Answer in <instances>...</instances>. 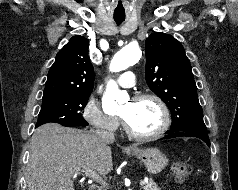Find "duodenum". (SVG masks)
I'll return each instance as SVG.
<instances>
[{"label": "duodenum", "instance_id": "obj_1", "mask_svg": "<svg viewBox=\"0 0 238 190\" xmlns=\"http://www.w3.org/2000/svg\"><path fill=\"white\" fill-rule=\"evenodd\" d=\"M89 190H100V188L98 186H92L89 188Z\"/></svg>", "mask_w": 238, "mask_h": 190}]
</instances>
